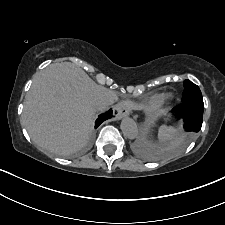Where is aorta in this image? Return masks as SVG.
Masks as SVG:
<instances>
[{"label":"aorta","instance_id":"aorta-1","mask_svg":"<svg viewBox=\"0 0 225 225\" xmlns=\"http://www.w3.org/2000/svg\"><path fill=\"white\" fill-rule=\"evenodd\" d=\"M121 131L128 139H135L138 136V127L131 118H124L120 125Z\"/></svg>","mask_w":225,"mask_h":225}]
</instances>
